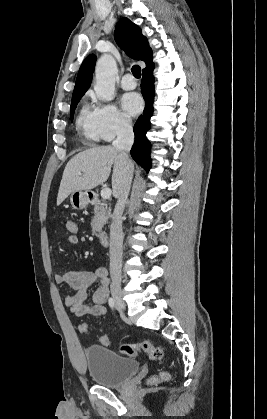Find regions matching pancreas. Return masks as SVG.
I'll list each match as a JSON object with an SVG mask.
<instances>
[{
	"label": "pancreas",
	"instance_id": "cf45deb5",
	"mask_svg": "<svg viewBox=\"0 0 267 419\" xmlns=\"http://www.w3.org/2000/svg\"><path fill=\"white\" fill-rule=\"evenodd\" d=\"M110 217V209L105 203H99L94 208V217L91 222L92 232L97 235Z\"/></svg>",
	"mask_w": 267,
	"mask_h": 419
}]
</instances>
